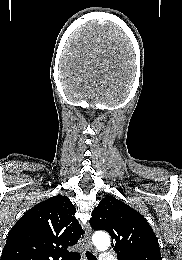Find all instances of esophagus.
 Wrapping results in <instances>:
<instances>
[{
  "mask_svg": "<svg viewBox=\"0 0 182 260\" xmlns=\"http://www.w3.org/2000/svg\"><path fill=\"white\" fill-rule=\"evenodd\" d=\"M91 236H92V229H91V227H87V230L84 235V244H85L86 248L89 250L94 249L93 245H92V241H91Z\"/></svg>",
  "mask_w": 182,
  "mask_h": 260,
  "instance_id": "1",
  "label": "esophagus"
}]
</instances>
